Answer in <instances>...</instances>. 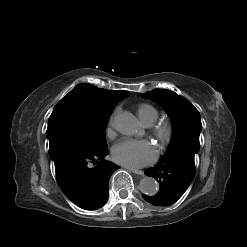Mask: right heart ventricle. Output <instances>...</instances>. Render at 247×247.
Here are the masks:
<instances>
[{
	"instance_id": "obj_1",
	"label": "right heart ventricle",
	"mask_w": 247,
	"mask_h": 247,
	"mask_svg": "<svg viewBox=\"0 0 247 247\" xmlns=\"http://www.w3.org/2000/svg\"><path fill=\"white\" fill-rule=\"evenodd\" d=\"M137 115L144 125H151L159 116L158 109L148 103H141L137 107Z\"/></svg>"
}]
</instances>
